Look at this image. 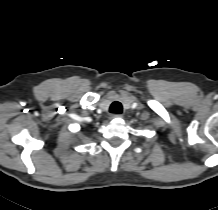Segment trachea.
<instances>
[{
	"instance_id": "obj_1",
	"label": "trachea",
	"mask_w": 218,
	"mask_h": 210,
	"mask_svg": "<svg viewBox=\"0 0 218 210\" xmlns=\"http://www.w3.org/2000/svg\"><path fill=\"white\" fill-rule=\"evenodd\" d=\"M110 113L121 114L122 113V104L118 101H115L111 104Z\"/></svg>"
}]
</instances>
